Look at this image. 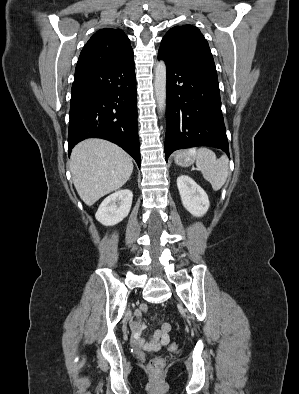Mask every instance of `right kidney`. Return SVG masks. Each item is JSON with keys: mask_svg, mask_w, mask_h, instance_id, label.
I'll list each match as a JSON object with an SVG mask.
<instances>
[{"mask_svg": "<svg viewBox=\"0 0 299 394\" xmlns=\"http://www.w3.org/2000/svg\"><path fill=\"white\" fill-rule=\"evenodd\" d=\"M133 193L129 189L119 190L106 197L95 214L96 219L105 226H112L128 216Z\"/></svg>", "mask_w": 299, "mask_h": 394, "instance_id": "1", "label": "right kidney"}]
</instances>
